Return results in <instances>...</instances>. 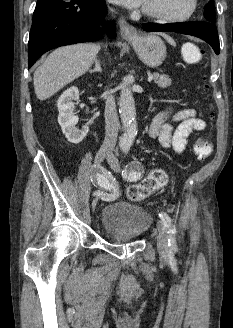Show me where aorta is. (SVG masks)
Returning a JSON list of instances; mask_svg holds the SVG:
<instances>
[{
    "label": "aorta",
    "mask_w": 233,
    "mask_h": 328,
    "mask_svg": "<svg viewBox=\"0 0 233 328\" xmlns=\"http://www.w3.org/2000/svg\"><path fill=\"white\" fill-rule=\"evenodd\" d=\"M129 84V80L125 78L120 85L119 111L124 127V134L120 140V147L122 149H129L137 134L135 102Z\"/></svg>",
    "instance_id": "762f6f07"
}]
</instances>
